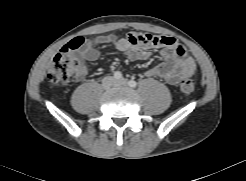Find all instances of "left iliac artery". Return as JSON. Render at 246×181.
<instances>
[{
    "label": "left iliac artery",
    "instance_id": "obj_1",
    "mask_svg": "<svg viewBox=\"0 0 246 181\" xmlns=\"http://www.w3.org/2000/svg\"><path fill=\"white\" fill-rule=\"evenodd\" d=\"M128 85H129L130 87H132V88H135V87L137 86V82L134 81V80H130V81L128 82Z\"/></svg>",
    "mask_w": 246,
    "mask_h": 181
}]
</instances>
